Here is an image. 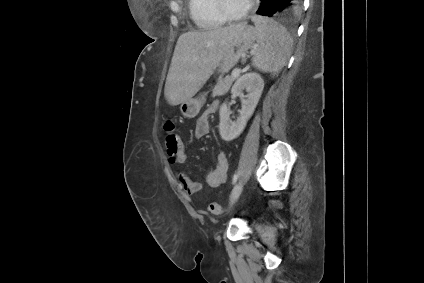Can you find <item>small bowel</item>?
<instances>
[{
	"instance_id": "1",
	"label": "small bowel",
	"mask_w": 424,
	"mask_h": 283,
	"mask_svg": "<svg viewBox=\"0 0 424 283\" xmlns=\"http://www.w3.org/2000/svg\"><path fill=\"white\" fill-rule=\"evenodd\" d=\"M219 107V102H212L208 108L202 113V115L197 119L195 124L194 134L196 138H201L208 134L209 132V117L213 114ZM167 155L170 163L172 164H182L185 161V152L184 147L180 153L170 154L171 148L166 146ZM229 169V160L228 156L224 151H220L217 154L216 164L208 169L205 179L209 187H218L224 184L227 180ZM176 178L183 188V190L189 194L193 195L199 192L202 188L200 182L192 179L187 172L184 170H179L176 173Z\"/></svg>"
}]
</instances>
